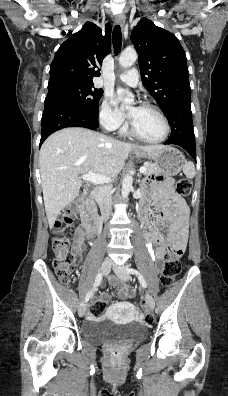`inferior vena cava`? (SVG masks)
<instances>
[{
  "mask_svg": "<svg viewBox=\"0 0 228 396\" xmlns=\"http://www.w3.org/2000/svg\"><path fill=\"white\" fill-rule=\"evenodd\" d=\"M109 185L98 188L96 192V200L100 205L103 220H107L112 210V197Z\"/></svg>",
  "mask_w": 228,
  "mask_h": 396,
  "instance_id": "1",
  "label": "inferior vena cava"
}]
</instances>
